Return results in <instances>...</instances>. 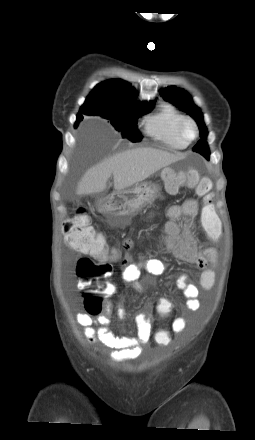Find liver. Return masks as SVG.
<instances>
[{
	"label": "liver",
	"instance_id": "1",
	"mask_svg": "<svg viewBox=\"0 0 255 440\" xmlns=\"http://www.w3.org/2000/svg\"><path fill=\"white\" fill-rule=\"evenodd\" d=\"M182 154L150 147L124 151L104 159L86 171L78 183L77 195H90L103 192L111 175L114 189L124 190L137 184L163 167L182 159Z\"/></svg>",
	"mask_w": 255,
	"mask_h": 440
}]
</instances>
